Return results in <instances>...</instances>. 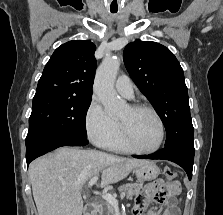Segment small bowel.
I'll list each match as a JSON object with an SVG mask.
<instances>
[{"label": "small bowel", "instance_id": "obj_1", "mask_svg": "<svg viewBox=\"0 0 223 215\" xmlns=\"http://www.w3.org/2000/svg\"><path fill=\"white\" fill-rule=\"evenodd\" d=\"M181 186L176 180H156L148 184L137 196L133 215H143L149 202L162 204L165 209L162 215H178L176 196L180 194ZM149 215H158L150 213Z\"/></svg>", "mask_w": 223, "mask_h": 215}]
</instances>
